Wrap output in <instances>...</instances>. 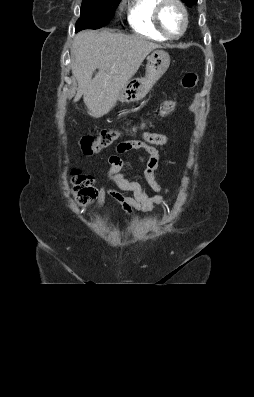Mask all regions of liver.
Masks as SVG:
<instances>
[{
    "label": "liver",
    "instance_id": "1",
    "mask_svg": "<svg viewBox=\"0 0 254 397\" xmlns=\"http://www.w3.org/2000/svg\"><path fill=\"white\" fill-rule=\"evenodd\" d=\"M161 46L141 36L107 30L79 32L72 44V74L91 117L100 118L115 106L119 91L135 75L145 57ZM98 73L92 79L94 71Z\"/></svg>",
    "mask_w": 254,
    "mask_h": 397
}]
</instances>
